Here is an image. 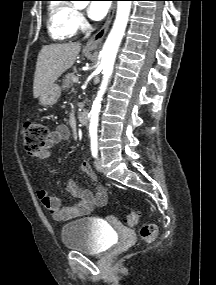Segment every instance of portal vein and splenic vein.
<instances>
[{
	"label": "portal vein and splenic vein",
	"instance_id": "1",
	"mask_svg": "<svg viewBox=\"0 0 216 285\" xmlns=\"http://www.w3.org/2000/svg\"><path fill=\"white\" fill-rule=\"evenodd\" d=\"M78 80H79L78 77H74V78H73V82H74V83H77Z\"/></svg>",
	"mask_w": 216,
	"mask_h": 285
}]
</instances>
